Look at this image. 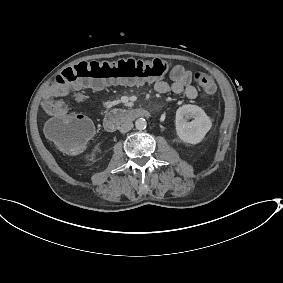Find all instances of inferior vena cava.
Returning <instances> with one entry per match:
<instances>
[{
    "label": "inferior vena cava",
    "instance_id": "602c4592",
    "mask_svg": "<svg viewBox=\"0 0 283 283\" xmlns=\"http://www.w3.org/2000/svg\"><path fill=\"white\" fill-rule=\"evenodd\" d=\"M133 123L131 121L124 122L120 127L121 133H127L133 128Z\"/></svg>",
    "mask_w": 283,
    "mask_h": 283
}]
</instances>
